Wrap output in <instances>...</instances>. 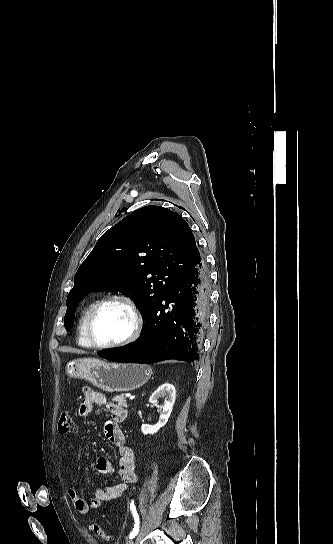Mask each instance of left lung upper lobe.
Instances as JSON below:
<instances>
[{"mask_svg":"<svg viewBox=\"0 0 333 544\" xmlns=\"http://www.w3.org/2000/svg\"><path fill=\"white\" fill-rule=\"evenodd\" d=\"M200 259L194 235L179 214L154 205L135 210L100 237L79 267L64 325L73 326L74 311L88 293L103 290L130 292L146 317Z\"/></svg>","mask_w":333,"mask_h":544,"instance_id":"obj_1","label":"left lung upper lobe"}]
</instances>
